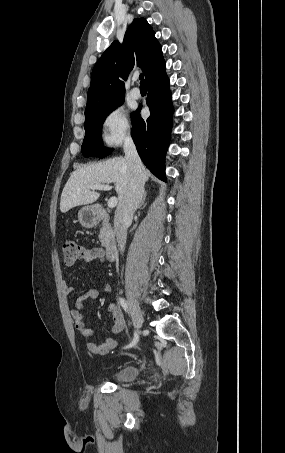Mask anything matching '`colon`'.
Wrapping results in <instances>:
<instances>
[{"mask_svg":"<svg viewBox=\"0 0 285 453\" xmlns=\"http://www.w3.org/2000/svg\"><path fill=\"white\" fill-rule=\"evenodd\" d=\"M82 247L73 240H66L63 243V256L67 264H73L82 256Z\"/></svg>","mask_w":285,"mask_h":453,"instance_id":"colon-1","label":"colon"}]
</instances>
